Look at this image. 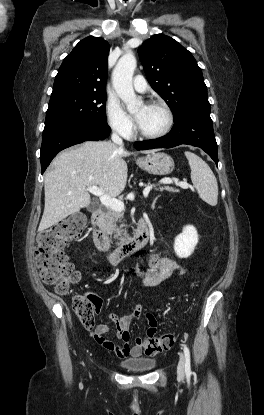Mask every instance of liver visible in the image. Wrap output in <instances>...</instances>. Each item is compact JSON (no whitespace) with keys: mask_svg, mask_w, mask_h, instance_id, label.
<instances>
[{"mask_svg":"<svg viewBox=\"0 0 264 415\" xmlns=\"http://www.w3.org/2000/svg\"><path fill=\"white\" fill-rule=\"evenodd\" d=\"M130 154L107 141H86L61 152L44 176L45 207L38 230H46L87 207L91 202L88 186L98 185L110 197L121 194L128 173L123 157Z\"/></svg>","mask_w":264,"mask_h":415,"instance_id":"1","label":"liver"}]
</instances>
